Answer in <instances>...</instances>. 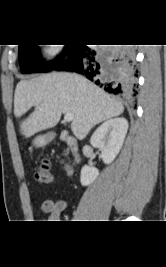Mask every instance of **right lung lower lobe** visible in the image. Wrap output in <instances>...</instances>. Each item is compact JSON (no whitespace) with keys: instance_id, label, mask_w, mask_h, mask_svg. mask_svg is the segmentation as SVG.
Returning a JSON list of instances; mask_svg holds the SVG:
<instances>
[{"instance_id":"obj_1","label":"right lung lower lobe","mask_w":166,"mask_h":267,"mask_svg":"<svg viewBox=\"0 0 166 267\" xmlns=\"http://www.w3.org/2000/svg\"><path fill=\"white\" fill-rule=\"evenodd\" d=\"M68 59L53 69L84 74L89 80L121 98L128 99L135 91L133 51L130 47H117L96 52L87 45H71Z\"/></svg>"}]
</instances>
